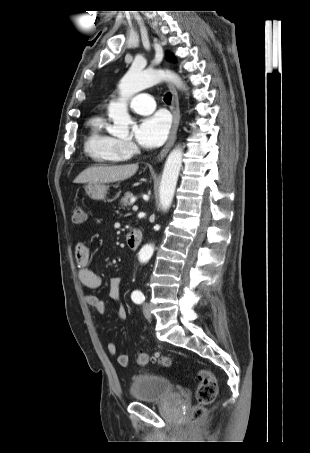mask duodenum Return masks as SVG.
I'll return each mask as SVG.
<instances>
[{
    "mask_svg": "<svg viewBox=\"0 0 310 453\" xmlns=\"http://www.w3.org/2000/svg\"><path fill=\"white\" fill-rule=\"evenodd\" d=\"M143 234L138 229H133L127 234V245L131 250H135L140 245Z\"/></svg>",
    "mask_w": 310,
    "mask_h": 453,
    "instance_id": "duodenum-1",
    "label": "duodenum"
}]
</instances>
